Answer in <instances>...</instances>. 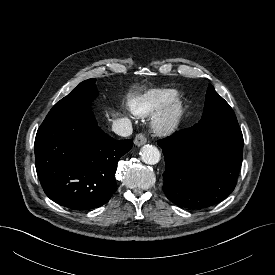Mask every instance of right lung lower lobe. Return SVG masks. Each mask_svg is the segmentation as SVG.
<instances>
[{
  "label": "right lung lower lobe",
  "instance_id": "98d812e1",
  "mask_svg": "<svg viewBox=\"0 0 275 275\" xmlns=\"http://www.w3.org/2000/svg\"><path fill=\"white\" fill-rule=\"evenodd\" d=\"M132 146L130 139L115 140L103 132L90 108L43 122L34 143L42 188L73 210L100 207L116 191L118 159Z\"/></svg>",
  "mask_w": 275,
  "mask_h": 275
}]
</instances>
